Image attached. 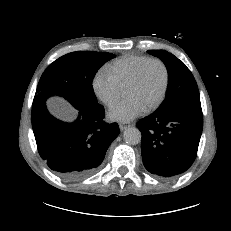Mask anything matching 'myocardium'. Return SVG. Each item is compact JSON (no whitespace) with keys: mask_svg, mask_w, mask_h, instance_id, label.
Instances as JSON below:
<instances>
[{"mask_svg":"<svg viewBox=\"0 0 231 231\" xmlns=\"http://www.w3.org/2000/svg\"><path fill=\"white\" fill-rule=\"evenodd\" d=\"M151 63H158L161 65L163 72H164V82H163V87L162 90L158 96V98L156 99L155 102H153L151 105H149L146 110L147 111H153L155 109H157L161 103L163 102L167 90H168V86H169V80H170V75H169V70L167 65L165 64V62L159 58H150L147 61H145L144 63H142L139 68L136 70L134 76L132 77V79L129 81L126 89L131 88L133 86H135L141 79L146 67L151 64Z\"/></svg>","mask_w":231,"mask_h":231,"instance_id":"f54148a6","label":"myocardium"}]
</instances>
